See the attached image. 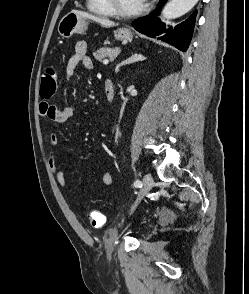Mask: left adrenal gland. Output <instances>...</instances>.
<instances>
[{"instance_id": "a2214340", "label": "left adrenal gland", "mask_w": 249, "mask_h": 294, "mask_svg": "<svg viewBox=\"0 0 249 294\" xmlns=\"http://www.w3.org/2000/svg\"><path fill=\"white\" fill-rule=\"evenodd\" d=\"M145 59L146 58L141 54H137V53L132 54L129 58H127L126 60H124L121 63L117 64L115 71L118 72L119 68L121 66H123V65L135 63V62H138V61H143Z\"/></svg>"}]
</instances>
